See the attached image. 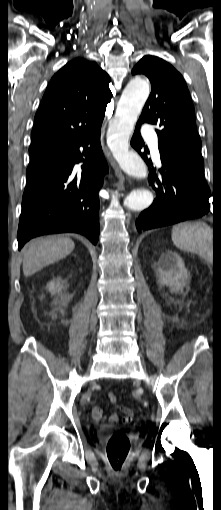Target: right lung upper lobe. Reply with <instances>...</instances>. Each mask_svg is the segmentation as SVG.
<instances>
[{"label":"right lung upper lobe","instance_id":"1","mask_svg":"<svg viewBox=\"0 0 221 510\" xmlns=\"http://www.w3.org/2000/svg\"><path fill=\"white\" fill-rule=\"evenodd\" d=\"M110 77L95 62L76 58L51 79L35 115L29 153L58 149L102 123Z\"/></svg>","mask_w":221,"mask_h":510}]
</instances>
